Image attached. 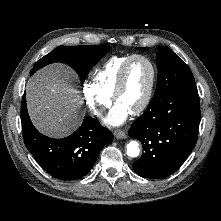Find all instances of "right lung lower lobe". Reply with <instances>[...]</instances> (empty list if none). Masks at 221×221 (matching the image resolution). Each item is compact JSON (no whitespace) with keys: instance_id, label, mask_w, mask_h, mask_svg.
Segmentation results:
<instances>
[{"instance_id":"1","label":"right lung lower lobe","mask_w":221,"mask_h":221,"mask_svg":"<svg viewBox=\"0 0 221 221\" xmlns=\"http://www.w3.org/2000/svg\"><path fill=\"white\" fill-rule=\"evenodd\" d=\"M21 122L28 151L47 173L61 180H76L87 175L102 147L113 140L111 131L89 116L66 138L52 139L42 135L29 118L25 94L21 104Z\"/></svg>"}]
</instances>
